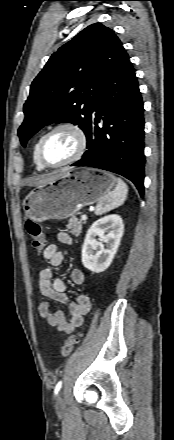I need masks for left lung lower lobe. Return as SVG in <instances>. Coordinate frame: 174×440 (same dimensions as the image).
<instances>
[{
  "mask_svg": "<svg viewBox=\"0 0 174 440\" xmlns=\"http://www.w3.org/2000/svg\"><path fill=\"white\" fill-rule=\"evenodd\" d=\"M87 148L71 166H89L120 174L144 194L143 100L129 56L124 50L92 104Z\"/></svg>",
  "mask_w": 174,
  "mask_h": 440,
  "instance_id": "1",
  "label": "left lung lower lobe"
}]
</instances>
